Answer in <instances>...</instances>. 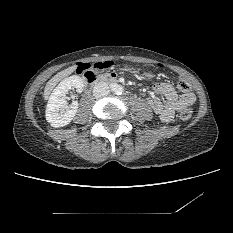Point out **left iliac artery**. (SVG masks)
<instances>
[{"instance_id":"44dca946","label":"left iliac artery","mask_w":233,"mask_h":233,"mask_svg":"<svg viewBox=\"0 0 233 233\" xmlns=\"http://www.w3.org/2000/svg\"><path fill=\"white\" fill-rule=\"evenodd\" d=\"M116 93H117V95H122L123 93H124V89H123V87H118L117 88V90H116Z\"/></svg>"}]
</instances>
